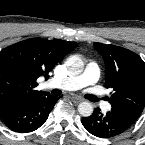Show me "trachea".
<instances>
[{"label":"trachea","mask_w":145,"mask_h":145,"mask_svg":"<svg viewBox=\"0 0 145 145\" xmlns=\"http://www.w3.org/2000/svg\"><path fill=\"white\" fill-rule=\"evenodd\" d=\"M52 94L59 96V95L61 94V91L58 90V89H54V90L52 91ZM89 97H90L89 99H90L91 101H97V97L92 96V95H90Z\"/></svg>","instance_id":"obj_1"}]
</instances>
